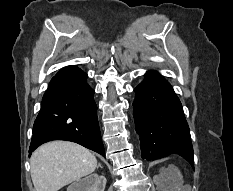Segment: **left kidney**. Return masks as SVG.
<instances>
[{
  "label": "left kidney",
  "instance_id": "1",
  "mask_svg": "<svg viewBox=\"0 0 233 191\" xmlns=\"http://www.w3.org/2000/svg\"><path fill=\"white\" fill-rule=\"evenodd\" d=\"M173 185L175 186L174 188H178V186L180 185L179 181L177 179L173 180ZM176 191V190H173Z\"/></svg>",
  "mask_w": 233,
  "mask_h": 191
}]
</instances>
